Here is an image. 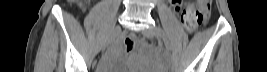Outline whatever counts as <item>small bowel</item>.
I'll return each instance as SVG.
<instances>
[{
	"instance_id": "obj_1",
	"label": "small bowel",
	"mask_w": 267,
	"mask_h": 72,
	"mask_svg": "<svg viewBox=\"0 0 267 72\" xmlns=\"http://www.w3.org/2000/svg\"><path fill=\"white\" fill-rule=\"evenodd\" d=\"M193 8L192 4L186 3L183 7L182 1H174V12L176 14L182 13V22L186 25L188 29H194L198 26L197 17L191 15L189 11ZM134 37L127 36L124 39V43L127 51H131L134 47Z\"/></svg>"
}]
</instances>
